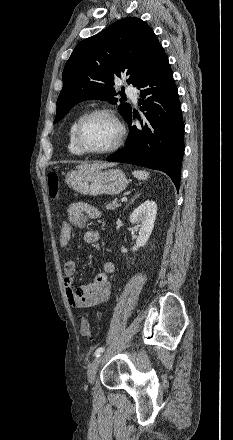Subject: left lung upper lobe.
<instances>
[{"label":"left lung upper lobe","mask_w":233,"mask_h":440,"mask_svg":"<svg viewBox=\"0 0 233 440\" xmlns=\"http://www.w3.org/2000/svg\"><path fill=\"white\" fill-rule=\"evenodd\" d=\"M162 51L150 26L135 17L119 20L81 41L63 70V88L57 100L54 123L83 100H108L115 104L118 99L114 98V80L127 77L128 84L137 86ZM118 108L126 120L131 106L122 103Z\"/></svg>","instance_id":"left-lung-upper-lobe-1"}]
</instances>
